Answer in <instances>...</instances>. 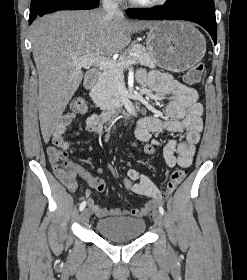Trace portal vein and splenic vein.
Returning <instances> with one entry per match:
<instances>
[{
	"instance_id": "obj_1",
	"label": "portal vein and splenic vein",
	"mask_w": 247,
	"mask_h": 280,
	"mask_svg": "<svg viewBox=\"0 0 247 280\" xmlns=\"http://www.w3.org/2000/svg\"><path fill=\"white\" fill-rule=\"evenodd\" d=\"M135 60H129L126 63H118L117 61L101 57L99 55H88L81 57L79 59H76L73 62V65L78 66V67H85V66H95L99 67L102 69H109V70H114L117 71L119 68L122 67H128L131 64H135Z\"/></svg>"
}]
</instances>
